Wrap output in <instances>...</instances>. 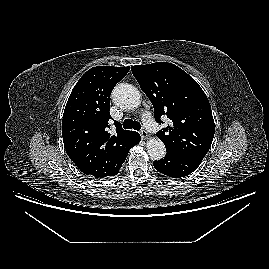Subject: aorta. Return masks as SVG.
Instances as JSON below:
<instances>
[{"label":"aorta","mask_w":269,"mask_h":269,"mask_svg":"<svg viewBox=\"0 0 269 269\" xmlns=\"http://www.w3.org/2000/svg\"><path fill=\"white\" fill-rule=\"evenodd\" d=\"M112 98L118 106L124 109H134L141 103V95L138 89L127 83L117 85L112 92ZM146 150L154 160H160L166 154L164 143L157 137L147 141Z\"/></svg>","instance_id":"aorta-1"}]
</instances>
